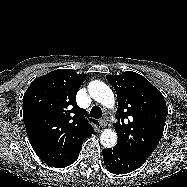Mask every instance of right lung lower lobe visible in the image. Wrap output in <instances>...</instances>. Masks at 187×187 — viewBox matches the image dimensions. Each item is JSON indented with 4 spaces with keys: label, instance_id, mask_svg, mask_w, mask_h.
Wrapping results in <instances>:
<instances>
[{
    "label": "right lung lower lobe",
    "instance_id": "obj_1",
    "mask_svg": "<svg viewBox=\"0 0 187 187\" xmlns=\"http://www.w3.org/2000/svg\"><path fill=\"white\" fill-rule=\"evenodd\" d=\"M81 146H82V145H81ZM80 149H81V147H80V148L78 149V151L75 153V155H74V157L71 159V161H70L68 164L64 165L63 167L69 166V165H71L72 163H74V162L76 161V159L78 158Z\"/></svg>",
    "mask_w": 187,
    "mask_h": 187
}]
</instances>
